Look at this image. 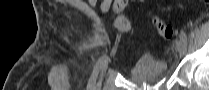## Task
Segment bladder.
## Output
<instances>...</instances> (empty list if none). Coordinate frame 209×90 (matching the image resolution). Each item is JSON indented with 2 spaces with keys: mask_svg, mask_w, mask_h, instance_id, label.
Returning a JSON list of instances; mask_svg holds the SVG:
<instances>
[{
  "mask_svg": "<svg viewBox=\"0 0 209 90\" xmlns=\"http://www.w3.org/2000/svg\"><path fill=\"white\" fill-rule=\"evenodd\" d=\"M166 71V62L144 56L131 67L129 75L136 82L151 83L164 78Z\"/></svg>",
  "mask_w": 209,
  "mask_h": 90,
  "instance_id": "1",
  "label": "bladder"
}]
</instances>
